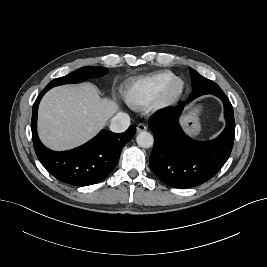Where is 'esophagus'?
Instances as JSON below:
<instances>
[{
    "instance_id": "34e87169",
    "label": "esophagus",
    "mask_w": 267,
    "mask_h": 267,
    "mask_svg": "<svg viewBox=\"0 0 267 267\" xmlns=\"http://www.w3.org/2000/svg\"><path fill=\"white\" fill-rule=\"evenodd\" d=\"M147 130V126L143 123H140L138 126H137V132H143V131H146Z\"/></svg>"
}]
</instances>
